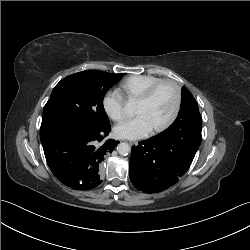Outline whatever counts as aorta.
Segmentation results:
<instances>
[{
	"instance_id": "obj_1",
	"label": "aorta",
	"mask_w": 250,
	"mask_h": 250,
	"mask_svg": "<svg viewBox=\"0 0 250 250\" xmlns=\"http://www.w3.org/2000/svg\"><path fill=\"white\" fill-rule=\"evenodd\" d=\"M125 110L127 113H133V104L128 102L125 106ZM117 151L120 155H128L131 151V147L128 143L122 142L117 146Z\"/></svg>"
}]
</instances>
